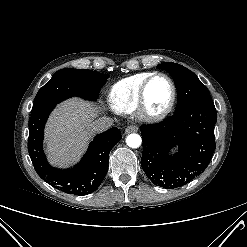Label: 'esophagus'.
<instances>
[{
	"instance_id": "34e87169",
	"label": "esophagus",
	"mask_w": 247,
	"mask_h": 247,
	"mask_svg": "<svg viewBox=\"0 0 247 247\" xmlns=\"http://www.w3.org/2000/svg\"><path fill=\"white\" fill-rule=\"evenodd\" d=\"M138 131V127L135 125H128L125 129V133H131V132H137Z\"/></svg>"
}]
</instances>
